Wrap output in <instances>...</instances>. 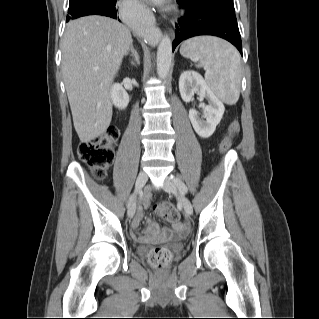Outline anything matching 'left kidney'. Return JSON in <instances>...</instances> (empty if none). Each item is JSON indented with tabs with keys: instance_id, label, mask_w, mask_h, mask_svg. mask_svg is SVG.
Listing matches in <instances>:
<instances>
[{
	"instance_id": "1",
	"label": "left kidney",
	"mask_w": 319,
	"mask_h": 319,
	"mask_svg": "<svg viewBox=\"0 0 319 319\" xmlns=\"http://www.w3.org/2000/svg\"><path fill=\"white\" fill-rule=\"evenodd\" d=\"M179 91L185 102H190L194 93L200 98H208L209 105L203 106L205 118H200L195 109L189 110V119L195 132L202 138H209L220 123L225 111L223 103L206 84L203 77L195 71H184L179 78Z\"/></svg>"
}]
</instances>
